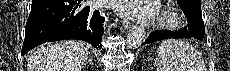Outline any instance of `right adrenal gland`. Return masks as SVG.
<instances>
[{"instance_id": "2a0ac1e0", "label": "right adrenal gland", "mask_w": 230, "mask_h": 71, "mask_svg": "<svg viewBox=\"0 0 230 71\" xmlns=\"http://www.w3.org/2000/svg\"><path fill=\"white\" fill-rule=\"evenodd\" d=\"M88 63H89L90 65H93L92 59H89V60H88Z\"/></svg>"}]
</instances>
